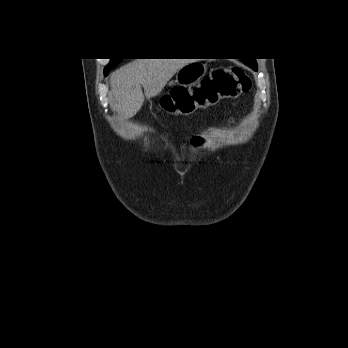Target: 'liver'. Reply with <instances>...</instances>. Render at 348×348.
Instances as JSON below:
<instances>
[{
    "instance_id": "obj_1",
    "label": "liver",
    "mask_w": 348,
    "mask_h": 348,
    "mask_svg": "<svg viewBox=\"0 0 348 348\" xmlns=\"http://www.w3.org/2000/svg\"><path fill=\"white\" fill-rule=\"evenodd\" d=\"M187 59H136L117 70L111 78V93L120 112L134 116L145 100L157 96Z\"/></svg>"
}]
</instances>
